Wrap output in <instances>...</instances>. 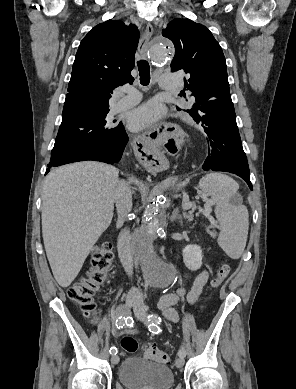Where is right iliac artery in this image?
<instances>
[{"mask_svg":"<svg viewBox=\"0 0 296 389\" xmlns=\"http://www.w3.org/2000/svg\"><path fill=\"white\" fill-rule=\"evenodd\" d=\"M125 308H126L125 306H120L118 308V314H120V316L116 320V326H117L118 329L123 328L125 326V324H124V321L126 319V316L124 314V309ZM110 354L116 355L117 354V348L116 347H111Z\"/></svg>","mask_w":296,"mask_h":389,"instance_id":"82829eb1","label":"right iliac artery"}]
</instances>
